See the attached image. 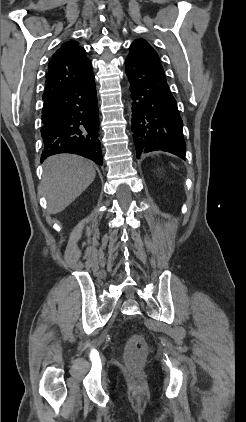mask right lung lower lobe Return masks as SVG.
<instances>
[{"label":"right lung lower lobe","mask_w":246,"mask_h":422,"mask_svg":"<svg viewBox=\"0 0 246 422\" xmlns=\"http://www.w3.org/2000/svg\"><path fill=\"white\" fill-rule=\"evenodd\" d=\"M43 100L41 160L58 153H73L102 165L94 75Z\"/></svg>","instance_id":"98d812e1"}]
</instances>
